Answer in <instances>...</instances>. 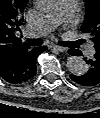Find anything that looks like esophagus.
<instances>
[{
	"mask_svg": "<svg viewBox=\"0 0 100 118\" xmlns=\"http://www.w3.org/2000/svg\"><path fill=\"white\" fill-rule=\"evenodd\" d=\"M50 47L54 50L59 51V52H64L66 50L65 47H62V46H59V45H51Z\"/></svg>",
	"mask_w": 100,
	"mask_h": 118,
	"instance_id": "34e87169",
	"label": "esophagus"
}]
</instances>
